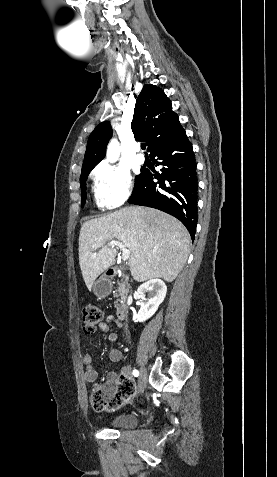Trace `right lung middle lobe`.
<instances>
[{
    "label": "right lung middle lobe",
    "instance_id": "obj_1",
    "mask_svg": "<svg viewBox=\"0 0 277 477\" xmlns=\"http://www.w3.org/2000/svg\"><path fill=\"white\" fill-rule=\"evenodd\" d=\"M93 168H88V169H85V170H82L81 172V176H80V182H81V198H82V202H81V205L83 206L84 203H85V200H86V179L89 175V172L92 170ZM143 171L144 170H141V174L139 176H136L135 178V185L140 181V179L142 178V175H143Z\"/></svg>",
    "mask_w": 277,
    "mask_h": 477
}]
</instances>
